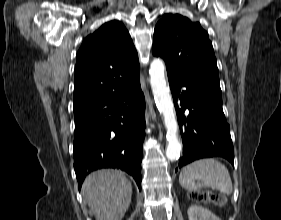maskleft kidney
I'll return each mask as SVG.
<instances>
[{"instance_id":"5707ae66","label":"left kidney","mask_w":281,"mask_h":220,"mask_svg":"<svg viewBox=\"0 0 281 220\" xmlns=\"http://www.w3.org/2000/svg\"><path fill=\"white\" fill-rule=\"evenodd\" d=\"M187 214L189 220H221L211 211L199 205H191Z\"/></svg>"}]
</instances>
